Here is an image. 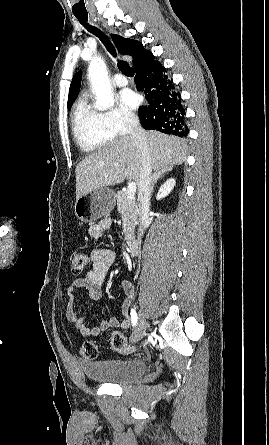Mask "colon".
I'll return each instance as SVG.
<instances>
[{
    "label": "colon",
    "instance_id": "obj_1",
    "mask_svg": "<svg viewBox=\"0 0 269 445\" xmlns=\"http://www.w3.org/2000/svg\"><path fill=\"white\" fill-rule=\"evenodd\" d=\"M71 268L73 273L80 274L87 266V256L79 250H75L70 255ZM111 345L114 350L123 354H130L133 348L127 344L125 337L119 333L114 332L111 336ZM101 345L95 341H85L81 345L80 352L82 356L89 360H94L98 357Z\"/></svg>",
    "mask_w": 269,
    "mask_h": 445
}]
</instances>
